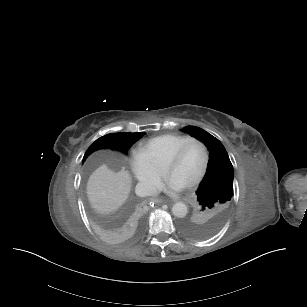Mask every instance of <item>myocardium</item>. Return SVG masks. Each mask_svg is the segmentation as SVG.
<instances>
[{
    "instance_id": "obj_1",
    "label": "myocardium",
    "mask_w": 307,
    "mask_h": 307,
    "mask_svg": "<svg viewBox=\"0 0 307 307\" xmlns=\"http://www.w3.org/2000/svg\"><path fill=\"white\" fill-rule=\"evenodd\" d=\"M193 142H198L202 145V147L204 149V163H203V166H202L201 170L199 171V173L186 185L187 188H192L195 185L199 184L202 181V179L205 177V175L208 171L209 163H210V155H209L208 145L205 143V141H203L200 138H196V137H192V138L186 140L163 163L164 172H165V174H167L168 168L172 164H174L175 162H177L181 159V157L183 156V154H184L186 148L188 147V145L193 143Z\"/></svg>"
}]
</instances>
